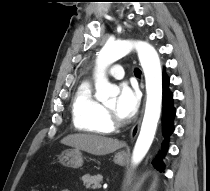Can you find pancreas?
<instances>
[{
	"instance_id": "1",
	"label": "pancreas",
	"mask_w": 210,
	"mask_h": 191,
	"mask_svg": "<svg viewBox=\"0 0 210 191\" xmlns=\"http://www.w3.org/2000/svg\"><path fill=\"white\" fill-rule=\"evenodd\" d=\"M102 180L103 179L101 175L90 176L89 174H86L82 176L83 184L88 189L95 190L101 188Z\"/></svg>"
}]
</instances>
